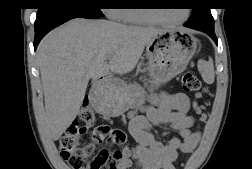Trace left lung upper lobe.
Segmentation results:
<instances>
[{"label": "left lung upper lobe", "mask_w": 252, "mask_h": 169, "mask_svg": "<svg viewBox=\"0 0 252 169\" xmlns=\"http://www.w3.org/2000/svg\"><path fill=\"white\" fill-rule=\"evenodd\" d=\"M193 1L196 6L192 8V15L184 25L188 28L201 31H214V19L211 15L209 7H207L209 0Z\"/></svg>", "instance_id": "1"}]
</instances>
